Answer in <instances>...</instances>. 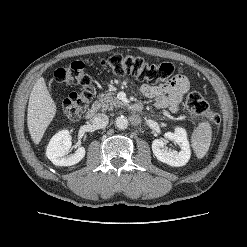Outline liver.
Segmentation results:
<instances>
[{
    "label": "liver",
    "instance_id": "6515ba94",
    "mask_svg": "<svg viewBox=\"0 0 247 247\" xmlns=\"http://www.w3.org/2000/svg\"><path fill=\"white\" fill-rule=\"evenodd\" d=\"M56 112L57 107L49 94L45 79L40 77L32 88L27 112V125L35 144L40 143Z\"/></svg>",
    "mask_w": 247,
    "mask_h": 247
}]
</instances>
